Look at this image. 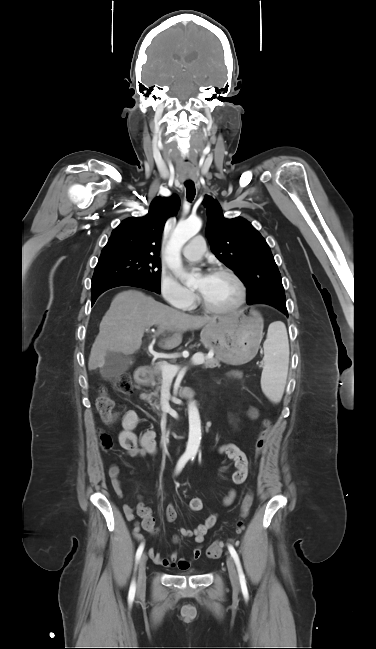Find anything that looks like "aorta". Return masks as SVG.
Listing matches in <instances>:
<instances>
[{
  "instance_id": "obj_1",
  "label": "aorta",
  "mask_w": 376,
  "mask_h": 649,
  "mask_svg": "<svg viewBox=\"0 0 376 649\" xmlns=\"http://www.w3.org/2000/svg\"><path fill=\"white\" fill-rule=\"evenodd\" d=\"M202 222L199 218H188L180 221L169 241L167 246L166 262L168 267L173 271L174 275L181 281L191 282L194 279L193 273H187L182 265L180 252L182 247L195 236L201 229ZM189 416V437L186 447V453L196 455L201 441V421L198 408L194 401L188 404Z\"/></svg>"
}]
</instances>
